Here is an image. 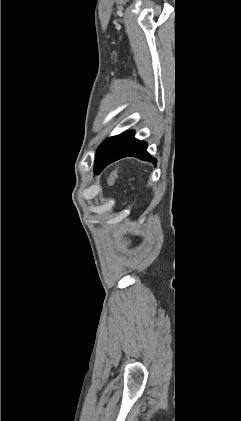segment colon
I'll return each mask as SVG.
<instances>
[{
	"instance_id": "obj_1",
	"label": "colon",
	"mask_w": 241,
	"mask_h": 421,
	"mask_svg": "<svg viewBox=\"0 0 241 421\" xmlns=\"http://www.w3.org/2000/svg\"><path fill=\"white\" fill-rule=\"evenodd\" d=\"M116 177H117V172L111 173V175L109 176V183H113Z\"/></svg>"
}]
</instances>
